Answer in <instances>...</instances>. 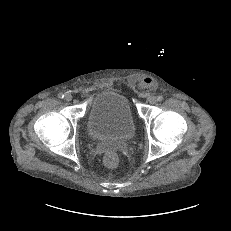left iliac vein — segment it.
Instances as JSON below:
<instances>
[{"label": "left iliac vein", "instance_id": "1", "mask_svg": "<svg viewBox=\"0 0 231 231\" xmlns=\"http://www.w3.org/2000/svg\"><path fill=\"white\" fill-rule=\"evenodd\" d=\"M148 101L150 104H155L157 102V98L155 96H149Z\"/></svg>", "mask_w": 231, "mask_h": 231}]
</instances>
